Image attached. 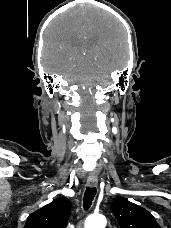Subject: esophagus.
Listing matches in <instances>:
<instances>
[{"label": "esophagus", "mask_w": 171, "mask_h": 228, "mask_svg": "<svg viewBox=\"0 0 171 228\" xmlns=\"http://www.w3.org/2000/svg\"><path fill=\"white\" fill-rule=\"evenodd\" d=\"M87 186L89 188H95L97 186V178L95 176H90L87 180Z\"/></svg>", "instance_id": "obj_1"}]
</instances>
